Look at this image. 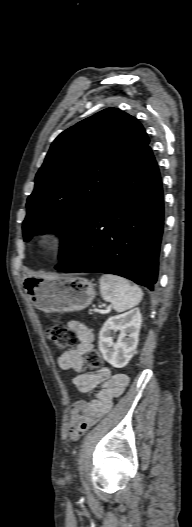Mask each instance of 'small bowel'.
<instances>
[{
  "instance_id": "obj_1",
  "label": "small bowel",
  "mask_w": 192,
  "mask_h": 527,
  "mask_svg": "<svg viewBox=\"0 0 192 527\" xmlns=\"http://www.w3.org/2000/svg\"><path fill=\"white\" fill-rule=\"evenodd\" d=\"M69 327L76 332L79 342L58 357V366L62 370L77 372L72 378V383L82 393H91L101 384L100 389L92 394L91 399L77 401L71 406L68 436L71 440H77L110 410L113 399L125 390L128 378L122 373L112 375L106 368L98 374L84 373V356L93 347V332L78 321L69 322Z\"/></svg>"
}]
</instances>
